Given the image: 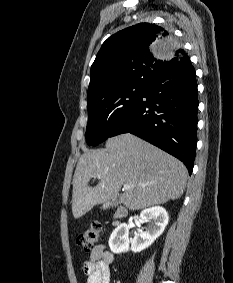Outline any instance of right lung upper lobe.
<instances>
[{
    "label": "right lung upper lobe",
    "instance_id": "obj_1",
    "mask_svg": "<svg viewBox=\"0 0 233 283\" xmlns=\"http://www.w3.org/2000/svg\"><path fill=\"white\" fill-rule=\"evenodd\" d=\"M188 54L165 28L140 23L110 36L91 66L88 105L119 89L148 86Z\"/></svg>",
    "mask_w": 233,
    "mask_h": 283
}]
</instances>
